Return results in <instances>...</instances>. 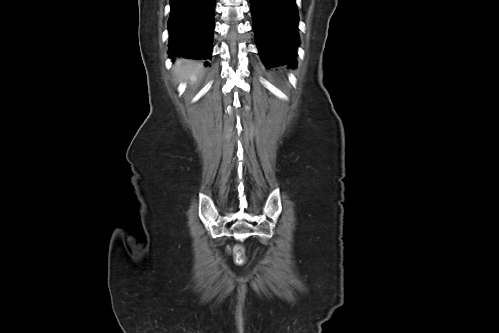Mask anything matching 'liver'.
Listing matches in <instances>:
<instances>
[{
  "label": "liver",
  "instance_id": "1",
  "mask_svg": "<svg viewBox=\"0 0 499 333\" xmlns=\"http://www.w3.org/2000/svg\"><path fill=\"white\" fill-rule=\"evenodd\" d=\"M203 64L189 60L178 59L174 65V73L179 81L190 80L192 83L196 82L203 74Z\"/></svg>",
  "mask_w": 499,
  "mask_h": 333
}]
</instances>
